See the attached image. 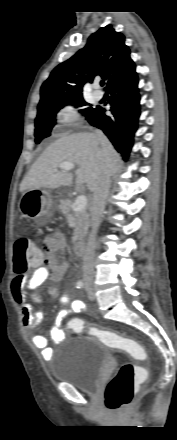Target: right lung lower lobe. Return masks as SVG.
Masks as SVG:
<instances>
[{
  "mask_svg": "<svg viewBox=\"0 0 177 440\" xmlns=\"http://www.w3.org/2000/svg\"><path fill=\"white\" fill-rule=\"evenodd\" d=\"M107 89L111 94L109 103L112 115H105L106 109L97 107L86 115V119L91 125L103 130L115 149L127 159L140 116L135 65L108 84Z\"/></svg>",
  "mask_w": 177,
  "mask_h": 440,
  "instance_id": "1",
  "label": "right lung lower lobe"
}]
</instances>
